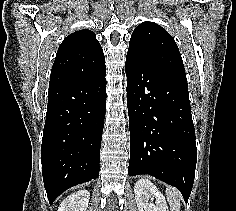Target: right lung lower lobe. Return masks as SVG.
Instances as JSON below:
<instances>
[{"instance_id": "1", "label": "right lung lower lobe", "mask_w": 236, "mask_h": 211, "mask_svg": "<svg viewBox=\"0 0 236 211\" xmlns=\"http://www.w3.org/2000/svg\"><path fill=\"white\" fill-rule=\"evenodd\" d=\"M106 70L48 91L41 159L49 203L65 190L99 176L106 112Z\"/></svg>"}]
</instances>
